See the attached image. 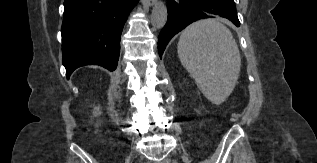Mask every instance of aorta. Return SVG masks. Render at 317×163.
I'll return each mask as SVG.
<instances>
[{"mask_svg": "<svg viewBox=\"0 0 317 163\" xmlns=\"http://www.w3.org/2000/svg\"><path fill=\"white\" fill-rule=\"evenodd\" d=\"M168 12L165 4L161 1L155 3L152 15L151 24L154 28L160 29L166 24Z\"/></svg>", "mask_w": 317, "mask_h": 163, "instance_id": "aorta-1", "label": "aorta"}]
</instances>
